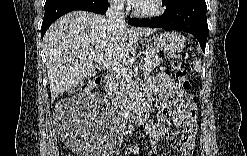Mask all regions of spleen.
<instances>
[{"label": "spleen", "mask_w": 247, "mask_h": 156, "mask_svg": "<svg viewBox=\"0 0 247 156\" xmlns=\"http://www.w3.org/2000/svg\"><path fill=\"white\" fill-rule=\"evenodd\" d=\"M194 70L200 72L201 70V62L199 59H195L193 62Z\"/></svg>", "instance_id": "spleen-1"}]
</instances>
